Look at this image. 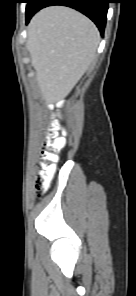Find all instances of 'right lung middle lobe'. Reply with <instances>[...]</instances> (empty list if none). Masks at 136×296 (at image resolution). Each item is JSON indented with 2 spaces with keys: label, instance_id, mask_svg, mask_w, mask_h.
<instances>
[{
  "label": "right lung middle lobe",
  "instance_id": "right-lung-middle-lobe-1",
  "mask_svg": "<svg viewBox=\"0 0 136 296\" xmlns=\"http://www.w3.org/2000/svg\"><path fill=\"white\" fill-rule=\"evenodd\" d=\"M33 0H27V7H26V12H28L31 9V2Z\"/></svg>",
  "mask_w": 136,
  "mask_h": 296
}]
</instances>
